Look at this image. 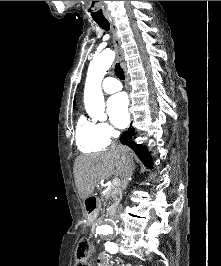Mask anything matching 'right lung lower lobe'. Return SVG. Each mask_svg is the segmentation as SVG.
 Masks as SVG:
<instances>
[{
    "label": "right lung lower lobe",
    "instance_id": "98d812e1",
    "mask_svg": "<svg viewBox=\"0 0 221 266\" xmlns=\"http://www.w3.org/2000/svg\"><path fill=\"white\" fill-rule=\"evenodd\" d=\"M134 137V128L130 126L128 131L124 132L123 135L120 137V141L122 144L129 146L133 149L142 163L149 168H152L153 162L151 160V156L147 149L143 145H138L132 141Z\"/></svg>",
    "mask_w": 221,
    "mask_h": 266
}]
</instances>
